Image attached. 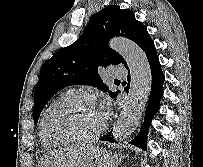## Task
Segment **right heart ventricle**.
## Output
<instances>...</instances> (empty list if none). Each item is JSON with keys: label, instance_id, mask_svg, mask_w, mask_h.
Wrapping results in <instances>:
<instances>
[{"label": "right heart ventricle", "instance_id": "obj_1", "mask_svg": "<svg viewBox=\"0 0 203 167\" xmlns=\"http://www.w3.org/2000/svg\"><path fill=\"white\" fill-rule=\"evenodd\" d=\"M70 94H60L59 96H57L47 107V109L45 110L40 125H39V137H40V141L42 143L43 146L48 147V148H52V147H58L63 145L62 143H59L57 141H54L52 139H50L44 132L43 129V121L45 116L48 114V112L53 109L60 101H62L63 99H65L67 96H69Z\"/></svg>", "mask_w": 203, "mask_h": 167}]
</instances>
